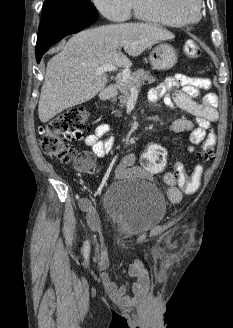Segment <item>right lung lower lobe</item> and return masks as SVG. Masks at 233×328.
I'll return each instance as SVG.
<instances>
[{
  "label": "right lung lower lobe",
  "mask_w": 233,
  "mask_h": 328,
  "mask_svg": "<svg viewBox=\"0 0 233 328\" xmlns=\"http://www.w3.org/2000/svg\"><path fill=\"white\" fill-rule=\"evenodd\" d=\"M97 17L98 12L86 10L43 9L36 44L37 62L51 45L91 25Z\"/></svg>",
  "instance_id": "98d812e1"
}]
</instances>
